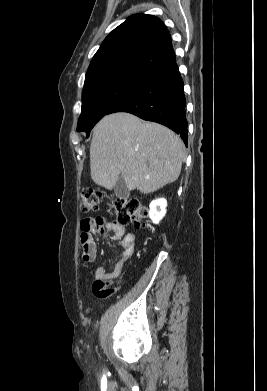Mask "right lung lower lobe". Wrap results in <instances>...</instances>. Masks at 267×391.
I'll list each match as a JSON object with an SVG mask.
<instances>
[{
	"label": "right lung lower lobe",
	"mask_w": 267,
	"mask_h": 391,
	"mask_svg": "<svg viewBox=\"0 0 267 391\" xmlns=\"http://www.w3.org/2000/svg\"><path fill=\"white\" fill-rule=\"evenodd\" d=\"M114 112H129L144 120L165 125L179 134L187 145L185 95L176 61L155 71L108 114Z\"/></svg>",
	"instance_id": "obj_1"
}]
</instances>
